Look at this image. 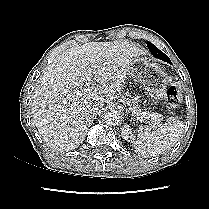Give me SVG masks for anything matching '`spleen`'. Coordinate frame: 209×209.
<instances>
[{
    "instance_id": "3e777b00",
    "label": "spleen",
    "mask_w": 209,
    "mask_h": 209,
    "mask_svg": "<svg viewBox=\"0 0 209 209\" xmlns=\"http://www.w3.org/2000/svg\"><path fill=\"white\" fill-rule=\"evenodd\" d=\"M184 131V122L177 117L168 118L163 125L144 126L137 131L134 151L143 157H155L173 147Z\"/></svg>"
}]
</instances>
